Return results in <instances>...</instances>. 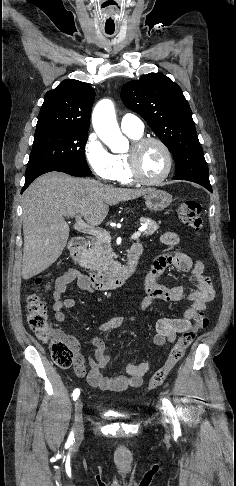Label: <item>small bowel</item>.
<instances>
[{
    "label": "small bowel",
    "instance_id": "1",
    "mask_svg": "<svg viewBox=\"0 0 236 486\" xmlns=\"http://www.w3.org/2000/svg\"><path fill=\"white\" fill-rule=\"evenodd\" d=\"M160 242L167 246H174L176 249L172 253H165L156 258L147 274L145 286L146 296L140 303V310L144 312L151 305L158 302H179L182 301L188 288L185 285L165 287L158 283L160 276L169 267H174L179 271L188 273L195 282V289L187 295L191 306L187 308L180 318H162L156 324V334L153 337L154 347H159L165 343H172L178 334L191 329L192 320L202 312L207 303L215 297V290L208 276L204 274V265L200 260H193L180 248V236L178 233L168 230L160 237ZM77 281L78 287L82 290H89L90 286L84 276L80 275L76 269L70 268L55 281L53 292V310L55 320L59 323L67 321L64 309L73 308L76 301L72 298H63L67 287L72 282ZM134 316H116L102 323L99 327L101 331H108L120 327L127 322H134ZM60 331V330H59ZM65 340L75 352L74 371L79 377L86 375L85 358L81 353L78 340L60 331ZM91 344L94 353L89 357L90 370L87 374V382L90 386L103 391L122 392L129 388L140 387L144 376L150 371L151 364L143 362L138 365H128L125 373L114 376H105V369L110 357L106 353L104 342L99 337H93Z\"/></svg>",
    "mask_w": 236,
    "mask_h": 486
}]
</instances>
